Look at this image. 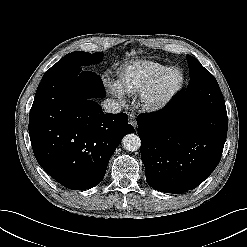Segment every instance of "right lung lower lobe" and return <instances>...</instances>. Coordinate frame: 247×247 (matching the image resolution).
I'll list each match as a JSON object with an SVG mask.
<instances>
[{"label": "right lung lower lobe", "instance_id": "98d812e1", "mask_svg": "<svg viewBox=\"0 0 247 247\" xmlns=\"http://www.w3.org/2000/svg\"><path fill=\"white\" fill-rule=\"evenodd\" d=\"M101 78L83 68L44 75L29 115V135L41 167L64 187L89 189L105 176L122 138L134 132L125 113L104 114L94 98Z\"/></svg>", "mask_w": 247, "mask_h": 247}]
</instances>
